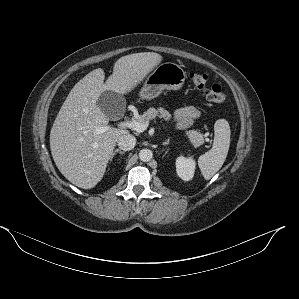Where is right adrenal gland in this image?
Masks as SVG:
<instances>
[{"instance_id":"2a0ac1e0","label":"right adrenal gland","mask_w":299,"mask_h":299,"mask_svg":"<svg viewBox=\"0 0 299 299\" xmlns=\"http://www.w3.org/2000/svg\"><path fill=\"white\" fill-rule=\"evenodd\" d=\"M117 153H119V154H121V155H124V154H125L124 151H121L120 149H115L114 152L112 153V156H111V159H110L111 161H112V159L114 158V156H115Z\"/></svg>"}]
</instances>
